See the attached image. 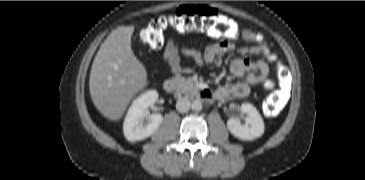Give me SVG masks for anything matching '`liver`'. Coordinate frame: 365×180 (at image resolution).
Instances as JSON below:
<instances>
[{"instance_id":"1","label":"liver","mask_w":365,"mask_h":180,"mask_svg":"<svg viewBox=\"0 0 365 180\" xmlns=\"http://www.w3.org/2000/svg\"><path fill=\"white\" fill-rule=\"evenodd\" d=\"M134 25L113 30L100 46L90 73L89 90L99 112L119 121L133 97L148 84L144 65L132 52Z\"/></svg>"}]
</instances>
